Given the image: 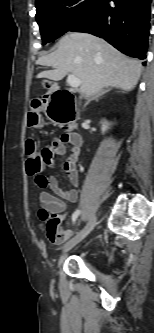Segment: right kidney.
Returning <instances> with one entry per match:
<instances>
[{"label":"right kidney","mask_w":154,"mask_h":333,"mask_svg":"<svg viewBox=\"0 0 154 333\" xmlns=\"http://www.w3.org/2000/svg\"><path fill=\"white\" fill-rule=\"evenodd\" d=\"M108 127H109V123L106 122V121H103L102 122V128H101L102 133H105V131L108 129Z\"/></svg>","instance_id":"1"}]
</instances>
